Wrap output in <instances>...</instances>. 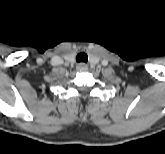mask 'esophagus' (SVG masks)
Segmentation results:
<instances>
[{"mask_svg":"<svg viewBox=\"0 0 165 154\" xmlns=\"http://www.w3.org/2000/svg\"><path fill=\"white\" fill-rule=\"evenodd\" d=\"M76 68L77 70L85 71L88 69V66L85 63H79Z\"/></svg>","mask_w":165,"mask_h":154,"instance_id":"obj_1","label":"esophagus"}]
</instances>
